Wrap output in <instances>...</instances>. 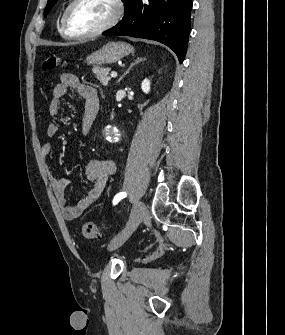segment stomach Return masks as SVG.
<instances>
[{"mask_svg": "<svg viewBox=\"0 0 285 335\" xmlns=\"http://www.w3.org/2000/svg\"><path fill=\"white\" fill-rule=\"evenodd\" d=\"M133 52L130 44L125 42H108L100 50L92 52L90 56H87L86 62L89 66H102V64H115L119 62L124 56H129Z\"/></svg>", "mask_w": 285, "mask_h": 335, "instance_id": "1", "label": "stomach"}]
</instances>
